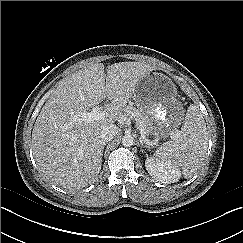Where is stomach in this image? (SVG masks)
Listing matches in <instances>:
<instances>
[{
    "mask_svg": "<svg viewBox=\"0 0 243 243\" xmlns=\"http://www.w3.org/2000/svg\"><path fill=\"white\" fill-rule=\"evenodd\" d=\"M133 100L150 123V134L158 140L173 137L184 119V107L177 88L163 73L151 71L139 81Z\"/></svg>",
    "mask_w": 243,
    "mask_h": 243,
    "instance_id": "stomach-1",
    "label": "stomach"
}]
</instances>
